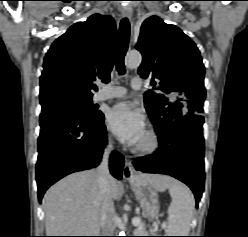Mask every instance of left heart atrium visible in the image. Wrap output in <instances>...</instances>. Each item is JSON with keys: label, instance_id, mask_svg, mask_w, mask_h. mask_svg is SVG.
Here are the masks:
<instances>
[{"label": "left heart atrium", "instance_id": "39dd6f15", "mask_svg": "<svg viewBox=\"0 0 248 237\" xmlns=\"http://www.w3.org/2000/svg\"><path fill=\"white\" fill-rule=\"evenodd\" d=\"M106 122L109 129L129 145L138 144L146 134L142 112L129 102L114 105L107 114Z\"/></svg>", "mask_w": 248, "mask_h": 237}]
</instances>
